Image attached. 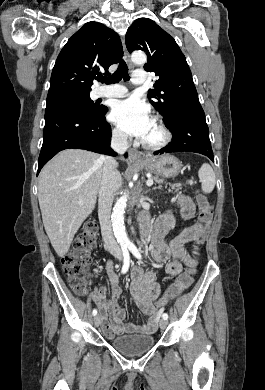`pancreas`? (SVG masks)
<instances>
[{
    "label": "pancreas",
    "instance_id": "pancreas-1",
    "mask_svg": "<svg viewBox=\"0 0 265 390\" xmlns=\"http://www.w3.org/2000/svg\"><path fill=\"white\" fill-rule=\"evenodd\" d=\"M153 180L158 183V184H161L163 183V179H159L158 177H154ZM171 186V189H169V191H172V190H175V191H178L181 189V184H172L170 185Z\"/></svg>",
    "mask_w": 265,
    "mask_h": 390
}]
</instances>
